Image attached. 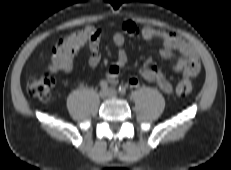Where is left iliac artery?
<instances>
[{
  "label": "left iliac artery",
  "mask_w": 231,
  "mask_h": 170,
  "mask_svg": "<svg viewBox=\"0 0 231 170\" xmlns=\"http://www.w3.org/2000/svg\"><path fill=\"white\" fill-rule=\"evenodd\" d=\"M118 91L121 95L126 94V87L125 86H119Z\"/></svg>",
  "instance_id": "44dca946"
}]
</instances>
